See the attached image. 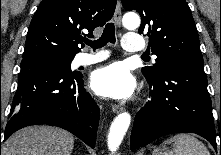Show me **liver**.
Returning a JSON list of instances; mask_svg holds the SVG:
<instances>
[{
  "instance_id": "1",
  "label": "liver",
  "mask_w": 221,
  "mask_h": 155,
  "mask_svg": "<svg viewBox=\"0 0 221 155\" xmlns=\"http://www.w3.org/2000/svg\"><path fill=\"white\" fill-rule=\"evenodd\" d=\"M73 135L50 126H32L14 133L5 143L2 155H70Z\"/></svg>"
}]
</instances>
